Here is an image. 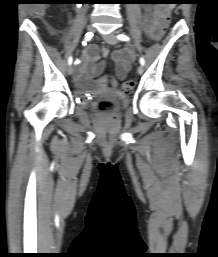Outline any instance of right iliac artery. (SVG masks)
<instances>
[{
	"instance_id": "1",
	"label": "right iliac artery",
	"mask_w": 218,
	"mask_h": 257,
	"mask_svg": "<svg viewBox=\"0 0 218 257\" xmlns=\"http://www.w3.org/2000/svg\"><path fill=\"white\" fill-rule=\"evenodd\" d=\"M93 37V33L92 32H88L86 35H85V39H84V42L83 44H86L87 41L91 40V38ZM72 56L69 57L68 59V64L71 65L72 64Z\"/></svg>"
}]
</instances>
